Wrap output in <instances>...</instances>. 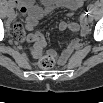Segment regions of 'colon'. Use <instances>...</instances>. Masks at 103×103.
<instances>
[{
	"instance_id": "1",
	"label": "colon",
	"mask_w": 103,
	"mask_h": 103,
	"mask_svg": "<svg viewBox=\"0 0 103 103\" xmlns=\"http://www.w3.org/2000/svg\"><path fill=\"white\" fill-rule=\"evenodd\" d=\"M56 63V55L55 54H47L45 56H43L39 62L38 65L42 68V69H50L52 68Z\"/></svg>"
}]
</instances>
